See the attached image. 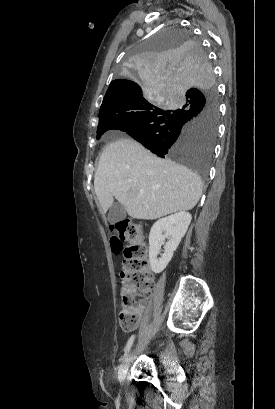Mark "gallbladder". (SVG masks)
<instances>
[{
    "mask_svg": "<svg viewBox=\"0 0 275 409\" xmlns=\"http://www.w3.org/2000/svg\"><path fill=\"white\" fill-rule=\"evenodd\" d=\"M126 217V211L123 205H120V202H113L112 207L109 209L108 213V221L111 225H115V223H119V221H123Z\"/></svg>",
    "mask_w": 275,
    "mask_h": 409,
    "instance_id": "obj_1",
    "label": "gallbladder"
}]
</instances>
